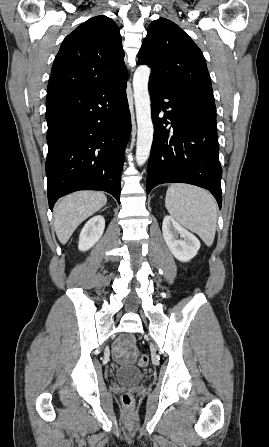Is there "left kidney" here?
<instances>
[{
  "mask_svg": "<svg viewBox=\"0 0 269 447\" xmlns=\"http://www.w3.org/2000/svg\"><path fill=\"white\" fill-rule=\"evenodd\" d=\"M163 237L174 257L180 261H190L196 255L200 241L184 229L182 225L177 224L171 216H165L162 224ZM182 237V239H179Z\"/></svg>",
  "mask_w": 269,
  "mask_h": 447,
  "instance_id": "1",
  "label": "left kidney"
}]
</instances>
